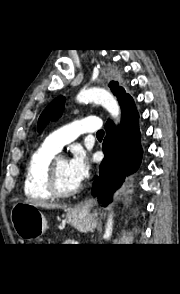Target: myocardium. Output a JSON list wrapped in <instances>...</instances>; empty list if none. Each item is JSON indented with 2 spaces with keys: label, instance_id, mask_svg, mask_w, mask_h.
Returning a JSON list of instances; mask_svg holds the SVG:
<instances>
[{
  "label": "myocardium",
  "instance_id": "1",
  "mask_svg": "<svg viewBox=\"0 0 180 294\" xmlns=\"http://www.w3.org/2000/svg\"><path fill=\"white\" fill-rule=\"evenodd\" d=\"M62 159L60 157H54L49 164L46 176V187L52 196L56 198H69L79 193L81 187L78 186L76 189L71 191H64L60 188L57 178V163Z\"/></svg>",
  "mask_w": 180,
  "mask_h": 294
}]
</instances>
